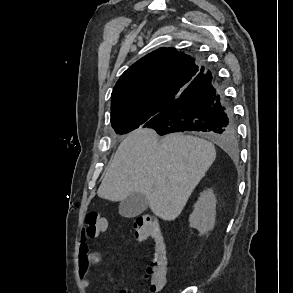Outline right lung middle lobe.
Listing matches in <instances>:
<instances>
[{
	"instance_id": "1",
	"label": "right lung middle lobe",
	"mask_w": 293,
	"mask_h": 293,
	"mask_svg": "<svg viewBox=\"0 0 293 293\" xmlns=\"http://www.w3.org/2000/svg\"><path fill=\"white\" fill-rule=\"evenodd\" d=\"M154 111L139 109L130 113H124L111 117L112 127L117 134H126L140 125L145 124L153 117Z\"/></svg>"
}]
</instances>
